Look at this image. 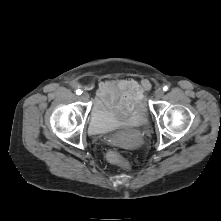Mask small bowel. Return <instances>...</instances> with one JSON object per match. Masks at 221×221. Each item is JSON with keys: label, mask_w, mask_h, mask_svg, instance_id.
Instances as JSON below:
<instances>
[{"label": "small bowel", "mask_w": 221, "mask_h": 221, "mask_svg": "<svg viewBox=\"0 0 221 221\" xmlns=\"http://www.w3.org/2000/svg\"><path fill=\"white\" fill-rule=\"evenodd\" d=\"M149 87L147 80L137 81L132 78L106 80L99 84V96L106 106H123L129 111H134L141 107L144 93Z\"/></svg>", "instance_id": "obj_1"}]
</instances>
